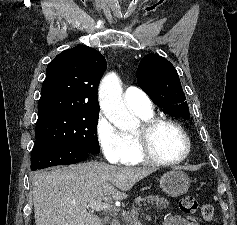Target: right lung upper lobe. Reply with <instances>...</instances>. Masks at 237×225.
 Returning <instances> with one entry per match:
<instances>
[{
    "label": "right lung upper lobe",
    "mask_w": 237,
    "mask_h": 225,
    "mask_svg": "<svg viewBox=\"0 0 237 225\" xmlns=\"http://www.w3.org/2000/svg\"><path fill=\"white\" fill-rule=\"evenodd\" d=\"M106 66L104 56L88 46L79 45L58 54L47 67L38 120L65 114L99 113L97 87Z\"/></svg>",
    "instance_id": "1"
}]
</instances>
